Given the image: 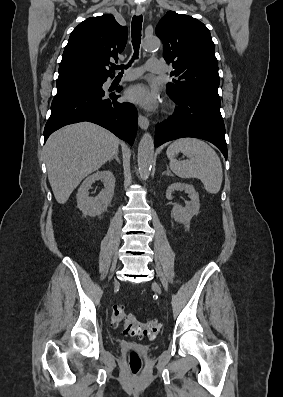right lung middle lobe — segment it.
Listing matches in <instances>:
<instances>
[{"label":"right lung middle lobe","instance_id":"1","mask_svg":"<svg viewBox=\"0 0 283 397\" xmlns=\"http://www.w3.org/2000/svg\"><path fill=\"white\" fill-rule=\"evenodd\" d=\"M105 81L106 80L103 79L80 78V79L57 81L56 86L58 91H60L70 87H77V86H101Z\"/></svg>","mask_w":283,"mask_h":397}]
</instances>
